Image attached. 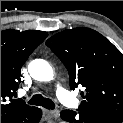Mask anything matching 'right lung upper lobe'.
I'll return each instance as SVG.
<instances>
[{
    "mask_svg": "<svg viewBox=\"0 0 123 123\" xmlns=\"http://www.w3.org/2000/svg\"><path fill=\"white\" fill-rule=\"evenodd\" d=\"M47 35V32L36 30L1 31V123H6L19 112L33 108L14 97L21 82V67Z\"/></svg>",
    "mask_w": 123,
    "mask_h": 123,
    "instance_id": "1",
    "label": "right lung upper lobe"
}]
</instances>
